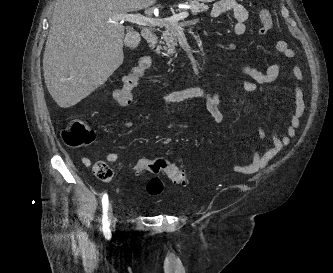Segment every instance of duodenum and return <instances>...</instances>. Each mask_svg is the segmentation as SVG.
Here are the masks:
<instances>
[{
	"instance_id": "obj_1",
	"label": "duodenum",
	"mask_w": 333,
	"mask_h": 273,
	"mask_svg": "<svg viewBox=\"0 0 333 273\" xmlns=\"http://www.w3.org/2000/svg\"><path fill=\"white\" fill-rule=\"evenodd\" d=\"M141 36H142L146 41H148V42H150V43H154V42L156 41V37H155L153 31L150 30V29H143V30L141 31Z\"/></svg>"
}]
</instances>
